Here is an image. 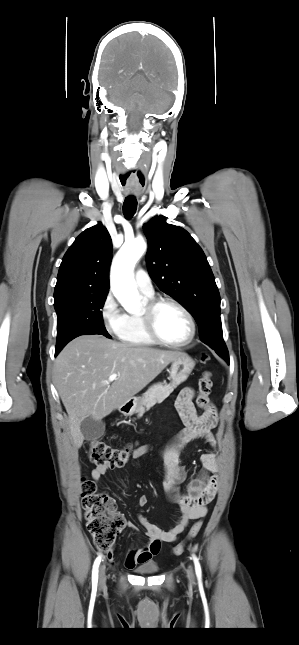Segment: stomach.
Here are the masks:
<instances>
[{
  "instance_id": "obj_1",
  "label": "stomach",
  "mask_w": 299,
  "mask_h": 645,
  "mask_svg": "<svg viewBox=\"0 0 299 645\" xmlns=\"http://www.w3.org/2000/svg\"><path fill=\"white\" fill-rule=\"evenodd\" d=\"M195 367L194 360L189 357L187 354L183 353L178 358L174 359L171 363L170 368V377L172 383L179 385L187 380L192 370ZM142 404V399L140 397H134L126 402L124 405L119 407L120 411L124 415H132L138 411L139 407Z\"/></svg>"
}]
</instances>
